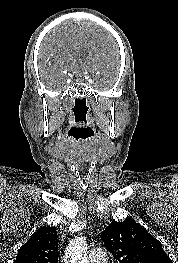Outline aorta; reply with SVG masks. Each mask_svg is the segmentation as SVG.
Wrapping results in <instances>:
<instances>
[{
  "mask_svg": "<svg viewBox=\"0 0 178 263\" xmlns=\"http://www.w3.org/2000/svg\"><path fill=\"white\" fill-rule=\"evenodd\" d=\"M65 263H89L87 258V243L84 238L73 239L65 255Z\"/></svg>",
  "mask_w": 178,
  "mask_h": 263,
  "instance_id": "762f6f07",
  "label": "aorta"
}]
</instances>
